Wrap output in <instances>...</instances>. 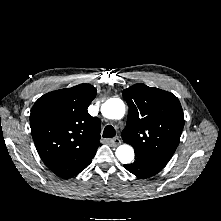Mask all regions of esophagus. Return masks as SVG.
I'll return each mask as SVG.
<instances>
[{
  "label": "esophagus",
  "mask_w": 221,
  "mask_h": 221,
  "mask_svg": "<svg viewBox=\"0 0 221 221\" xmlns=\"http://www.w3.org/2000/svg\"><path fill=\"white\" fill-rule=\"evenodd\" d=\"M112 146L116 147L121 144V140L118 137H115L110 140Z\"/></svg>",
  "instance_id": "1"
}]
</instances>
